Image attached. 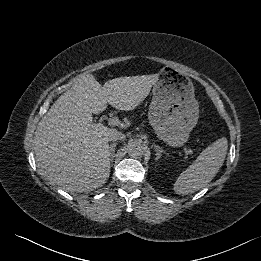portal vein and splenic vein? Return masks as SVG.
I'll use <instances>...</instances> for the list:
<instances>
[{
	"label": "portal vein and splenic vein",
	"mask_w": 261,
	"mask_h": 261,
	"mask_svg": "<svg viewBox=\"0 0 261 261\" xmlns=\"http://www.w3.org/2000/svg\"><path fill=\"white\" fill-rule=\"evenodd\" d=\"M108 124L111 126H119V125H121V121L118 118L114 117V118H110L108 120ZM184 151L186 154H189V155L193 154V151L191 149L184 148Z\"/></svg>",
	"instance_id": "1"
}]
</instances>
